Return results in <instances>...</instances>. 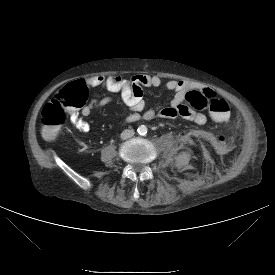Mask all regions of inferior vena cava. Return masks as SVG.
Returning a JSON list of instances; mask_svg holds the SVG:
<instances>
[{
  "label": "inferior vena cava",
  "instance_id": "1",
  "mask_svg": "<svg viewBox=\"0 0 275 275\" xmlns=\"http://www.w3.org/2000/svg\"><path fill=\"white\" fill-rule=\"evenodd\" d=\"M135 134L133 129H126L121 133V138L123 140H126L128 138H131Z\"/></svg>",
  "mask_w": 275,
  "mask_h": 275
}]
</instances>
